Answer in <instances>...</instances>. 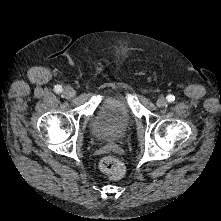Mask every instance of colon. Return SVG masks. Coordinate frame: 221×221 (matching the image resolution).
Returning <instances> with one entry per match:
<instances>
[{
	"instance_id": "colon-1",
	"label": "colon",
	"mask_w": 221,
	"mask_h": 221,
	"mask_svg": "<svg viewBox=\"0 0 221 221\" xmlns=\"http://www.w3.org/2000/svg\"><path fill=\"white\" fill-rule=\"evenodd\" d=\"M99 168L113 179H120L125 173L124 163L114 156L103 157L99 162Z\"/></svg>"
}]
</instances>
